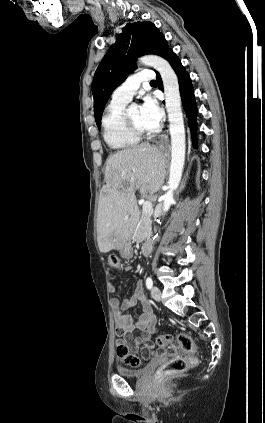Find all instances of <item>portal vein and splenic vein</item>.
I'll return each instance as SVG.
<instances>
[{"label": "portal vein and splenic vein", "instance_id": "portal-vein-and-splenic-vein-1", "mask_svg": "<svg viewBox=\"0 0 265 423\" xmlns=\"http://www.w3.org/2000/svg\"><path fill=\"white\" fill-rule=\"evenodd\" d=\"M142 210L144 213H150L153 211V206L150 201H145L142 205Z\"/></svg>", "mask_w": 265, "mask_h": 423}]
</instances>
